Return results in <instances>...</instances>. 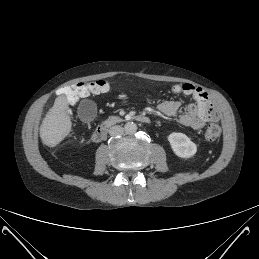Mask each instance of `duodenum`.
Segmentation results:
<instances>
[{
    "label": "duodenum",
    "mask_w": 259,
    "mask_h": 259,
    "mask_svg": "<svg viewBox=\"0 0 259 259\" xmlns=\"http://www.w3.org/2000/svg\"><path fill=\"white\" fill-rule=\"evenodd\" d=\"M137 119H138L139 122L144 123V124L150 123V118L148 116H145V115H140ZM108 128H109V124L108 123L100 125L93 132L92 140L94 142L102 141L105 138L106 134H107Z\"/></svg>",
    "instance_id": "1"
}]
</instances>
